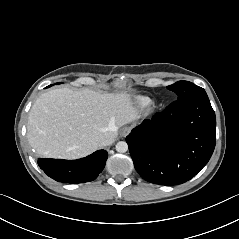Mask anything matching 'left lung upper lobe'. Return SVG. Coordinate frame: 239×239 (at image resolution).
<instances>
[{
    "instance_id": "5c2ea615",
    "label": "left lung upper lobe",
    "mask_w": 239,
    "mask_h": 239,
    "mask_svg": "<svg viewBox=\"0 0 239 239\" xmlns=\"http://www.w3.org/2000/svg\"><path fill=\"white\" fill-rule=\"evenodd\" d=\"M167 88L171 91H174L178 95V99H183L198 92L204 91L203 88L189 81H178Z\"/></svg>"
}]
</instances>
